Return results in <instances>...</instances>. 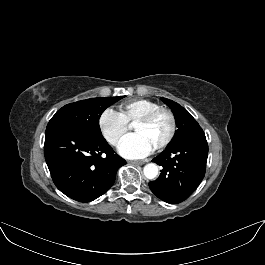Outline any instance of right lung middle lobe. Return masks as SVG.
<instances>
[{
	"mask_svg": "<svg viewBox=\"0 0 265 265\" xmlns=\"http://www.w3.org/2000/svg\"><path fill=\"white\" fill-rule=\"evenodd\" d=\"M123 96L91 98L70 103L59 109L51 118L47 129L68 127L81 130L93 136H102L99 119L104 110Z\"/></svg>",
	"mask_w": 265,
	"mask_h": 265,
	"instance_id": "obj_1",
	"label": "right lung middle lobe"
}]
</instances>
